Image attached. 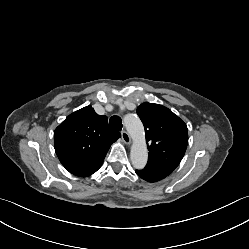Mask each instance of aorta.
Masks as SVG:
<instances>
[{
  "label": "aorta",
  "mask_w": 249,
  "mask_h": 249,
  "mask_svg": "<svg viewBox=\"0 0 249 249\" xmlns=\"http://www.w3.org/2000/svg\"><path fill=\"white\" fill-rule=\"evenodd\" d=\"M124 124L134 140L130 152L132 165L135 169H143L148 161V150L143 124L135 114L126 115L124 117Z\"/></svg>",
  "instance_id": "aorta-1"
}]
</instances>
